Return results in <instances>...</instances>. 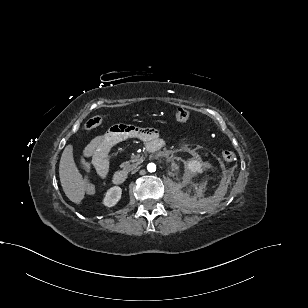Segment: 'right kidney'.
Segmentation results:
<instances>
[{
  "label": "right kidney",
  "mask_w": 308,
  "mask_h": 308,
  "mask_svg": "<svg viewBox=\"0 0 308 308\" xmlns=\"http://www.w3.org/2000/svg\"><path fill=\"white\" fill-rule=\"evenodd\" d=\"M122 189L119 186H113L107 190L103 199L106 207H113L121 199Z\"/></svg>",
  "instance_id": "right-kidney-1"
}]
</instances>
